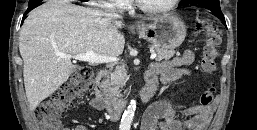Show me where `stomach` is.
I'll use <instances>...</instances> for the list:
<instances>
[{
	"instance_id": "stomach-1",
	"label": "stomach",
	"mask_w": 257,
	"mask_h": 130,
	"mask_svg": "<svg viewBox=\"0 0 257 130\" xmlns=\"http://www.w3.org/2000/svg\"><path fill=\"white\" fill-rule=\"evenodd\" d=\"M137 30L148 42L168 49L180 46L186 37L184 22L174 14L162 16L149 24H142Z\"/></svg>"
}]
</instances>
